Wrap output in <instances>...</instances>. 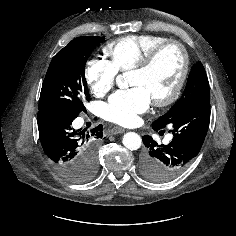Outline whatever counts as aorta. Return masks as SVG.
Here are the masks:
<instances>
[{
    "mask_svg": "<svg viewBox=\"0 0 236 236\" xmlns=\"http://www.w3.org/2000/svg\"><path fill=\"white\" fill-rule=\"evenodd\" d=\"M116 83L119 87L125 86V77L118 75L116 78ZM142 139L135 132H128L123 136V145L129 150H137L141 147Z\"/></svg>",
    "mask_w": 236,
    "mask_h": 236,
    "instance_id": "1",
    "label": "aorta"
}]
</instances>
